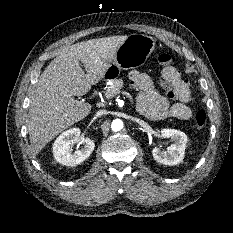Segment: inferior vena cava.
Listing matches in <instances>:
<instances>
[{"mask_svg": "<svg viewBox=\"0 0 233 233\" xmlns=\"http://www.w3.org/2000/svg\"><path fill=\"white\" fill-rule=\"evenodd\" d=\"M106 113H107L106 110H99V111L97 112V116H101V115L106 114Z\"/></svg>", "mask_w": 233, "mask_h": 233, "instance_id": "602c4592", "label": "inferior vena cava"}]
</instances>
